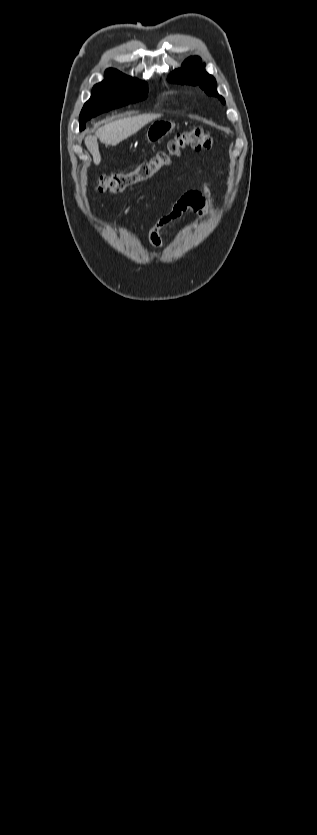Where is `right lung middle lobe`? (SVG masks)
Returning a JSON list of instances; mask_svg holds the SVG:
<instances>
[{"instance_id":"right-lung-middle-lobe-1","label":"right lung middle lobe","mask_w":317,"mask_h":835,"mask_svg":"<svg viewBox=\"0 0 317 835\" xmlns=\"http://www.w3.org/2000/svg\"><path fill=\"white\" fill-rule=\"evenodd\" d=\"M147 83L124 75L119 71H112L105 75V80L93 87L91 98L84 104L80 114V130L85 128L91 118L127 105L143 100L147 97Z\"/></svg>"}]
</instances>
